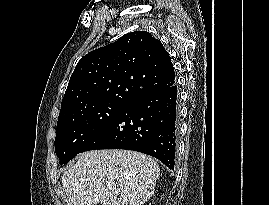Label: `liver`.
I'll use <instances>...</instances> for the list:
<instances>
[{"instance_id":"liver-1","label":"liver","mask_w":269,"mask_h":205,"mask_svg":"<svg viewBox=\"0 0 269 205\" xmlns=\"http://www.w3.org/2000/svg\"><path fill=\"white\" fill-rule=\"evenodd\" d=\"M159 175L156 160L145 154L92 150L80 154L61 181L67 205H141L154 194Z\"/></svg>"}]
</instances>
